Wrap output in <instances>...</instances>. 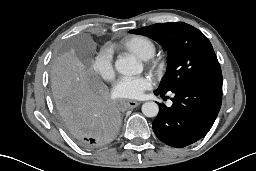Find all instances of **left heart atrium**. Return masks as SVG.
Here are the masks:
<instances>
[{
	"label": "left heart atrium",
	"instance_id": "left-heart-atrium-1",
	"mask_svg": "<svg viewBox=\"0 0 256 171\" xmlns=\"http://www.w3.org/2000/svg\"><path fill=\"white\" fill-rule=\"evenodd\" d=\"M151 87L147 76L122 77L113 87V95L122 99H137Z\"/></svg>",
	"mask_w": 256,
	"mask_h": 171
}]
</instances>
